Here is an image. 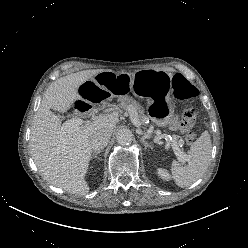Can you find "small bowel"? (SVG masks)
Segmentation results:
<instances>
[{
  "instance_id": "obj_1",
  "label": "small bowel",
  "mask_w": 248,
  "mask_h": 248,
  "mask_svg": "<svg viewBox=\"0 0 248 248\" xmlns=\"http://www.w3.org/2000/svg\"><path fill=\"white\" fill-rule=\"evenodd\" d=\"M188 124L179 125L181 128L186 129Z\"/></svg>"
}]
</instances>
